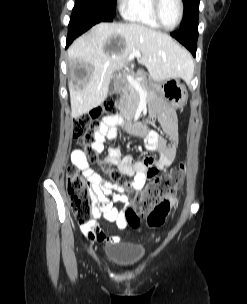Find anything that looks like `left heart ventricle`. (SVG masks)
I'll return each instance as SVG.
<instances>
[{
    "instance_id": "1",
    "label": "left heart ventricle",
    "mask_w": 247,
    "mask_h": 304,
    "mask_svg": "<svg viewBox=\"0 0 247 304\" xmlns=\"http://www.w3.org/2000/svg\"><path fill=\"white\" fill-rule=\"evenodd\" d=\"M160 16L166 27H173L179 17V4L177 0H162Z\"/></svg>"
}]
</instances>
